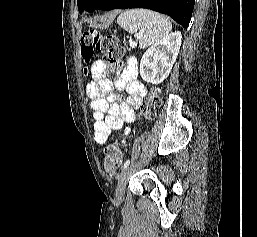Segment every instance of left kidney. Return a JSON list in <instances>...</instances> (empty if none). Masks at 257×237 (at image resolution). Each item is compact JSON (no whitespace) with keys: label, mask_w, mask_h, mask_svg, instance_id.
<instances>
[{"label":"left kidney","mask_w":257,"mask_h":237,"mask_svg":"<svg viewBox=\"0 0 257 237\" xmlns=\"http://www.w3.org/2000/svg\"><path fill=\"white\" fill-rule=\"evenodd\" d=\"M181 38L180 32L171 33L143 54L140 75L144 81L159 84L168 77L179 53Z\"/></svg>","instance_id":"obj_1"}]
</instances>
